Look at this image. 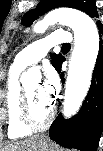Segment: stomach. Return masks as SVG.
<instances>
[{
	"label": "stomach",
	"instance_id": "1",
	"mask_svg": "<svg viewBox=\"0 0 103 151\" xmlns=\"http://www.w3.org/2000/svg\"><path fill=\"white\" fill-rule=\"evenodd\" d=\"M35 151H53V146L46 138L40 137L37 141Z\"/></svg>",
	"mask_w": 103,
	"mask_h": 151
}]
</instances>
